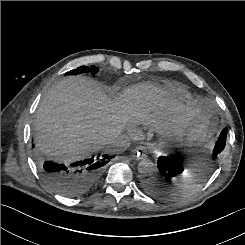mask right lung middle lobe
I'll list each match as a JSON object with an SVG mask.
<instances>
[{"mask_svg": "<svg viewBox=\"0 0 245 245\" xmlns=\"http://www.w3.org/2000/svg\"><path fill=\"white\" fill-rule=\"evenodd\" d=\"M99 71V69L95 66H91V67H85V66H81L75 70H71L70 72H67L66 75H78L80 73L86 72V73H92V74H96Z\"/></svg>", "mask_w": 245, "mask_h": 245, "instance_id": "dd1d6c3e", "label": "right lung middle lobe"}]
</instances>
